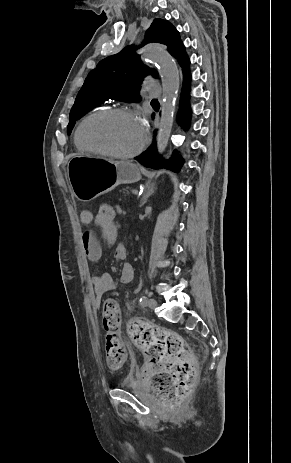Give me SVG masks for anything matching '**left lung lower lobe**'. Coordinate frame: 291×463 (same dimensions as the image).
Wrapping results in <instances>:
<instances>
[{
  "label": "left lung lower lobe",
  "mask_w": 291,
  "mask_h": 463,
  "mask_svg": "<svg viewBox=\"0 0 291 463\" xmlns=\"http://www.w3.org/2000/svg\"><path fill=\"white\" fill-rule=\"evenodd\" d=\"M191 80V76L189 70L184 72V81H183V88L181 92V99H180V108L177 115V122L183 129H188L191 119V111L189 107V83ZM154 117V114L152 115ZM140 164L145 167H150L153 169H160L166 168L170 169L174 172H179L182 165L184 164V160L176 155V151L173 152V155L168 159H163L157 153L156 142L148 148L142 155L135 158Z\"/></svg>",
  "instance_id": "obj_1"
}]
</instances>
